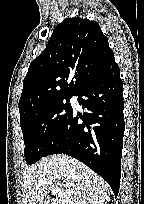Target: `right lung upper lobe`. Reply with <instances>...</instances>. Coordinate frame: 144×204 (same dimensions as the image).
I'll return each instance as SVG.
<instances>
[{"label": "right lung upper lobe", "instance_id": "right-lung-upper-lobe-1", "mask_svg": "<svg viewBox=\"0 0 144 204\" xmlns=\"http://www.w3.org/2000/svg\"><path fill=\"white\" fill-rule=\"evenodd\" d=\"M113 61L114 53L97 22L66 18L29 66L18 104L20 116L55 97L75 95Z\"/></svg>", "mask_w": 144, "mask_h": 204}]
</instances>
